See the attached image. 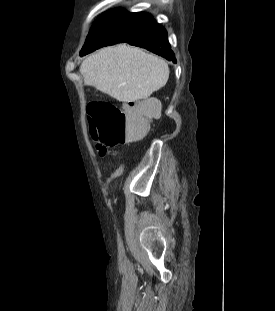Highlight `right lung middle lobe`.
Returning a JSON list of instances; mask_svg holds the SVG:
<instances>
[{"instance_id": "dd1d6c3e", "label": "right lung middle lobe", "mask_w": 275, "mask_h": 311, "mask_svg": "<svg viewBox=\"0 0 275 311\" xmlns=\"http://www.w3.org/2000/svg\"><path fill=\"white\" fill-rule=\"evenodd\" d=\"M149 18L151 16L146 13H129L123 9L104 13L91 28L80 55L122 42L137 25Z\"/></svg>"}]
</instances>
